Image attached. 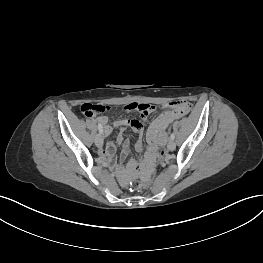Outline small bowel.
<instances>
[{"label": "small bowel", "mask_w": 263, "mask_h": 263, "mask_svg": "<svg viewBox=\"0 0 263 263\" xmlns=\"http://www.w3.org/2000/svg\"><path fill=\"white\" fill-rule=\"evenodd\" d=\"M137 104L139 102H136ZM159 116L153 121L152 125L149 128L147 141H148V150L147 155L143 159L144 169L143 174L146 177H151L154 172L157 164L161 161L160 154L162 153V146L165 139V130L168 128L169 124H171L174 120L179 119L184 111L181 108L176 109L173 104H166L160 111ZM149 114L142 115L143 119H117L109 124V120L106 116H99L97 118V122L101 124L103 128V132L105 136L111 134L113 127L120 128V133L117 136V143L123 144V149L121 151L120 158L124 160L130 151V142L124 141L123 131L126 128L133 129L140 137L144 132V120L147 118ZM135 148L137 151L143 150V144L141 140L137 141L135 144ZM116 146L113 142H108L103 151L102 155L107 160L115 159ZM118 175L121 179H124L126 176V172L123 167L119 166L117 169Z\"/></svg>", "instance_id": "1"}]
</instances>
